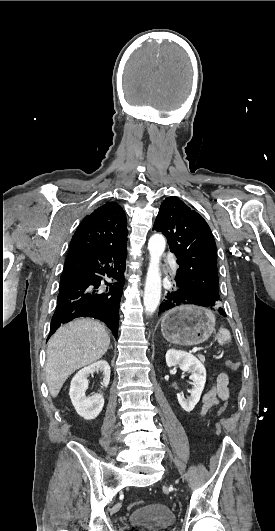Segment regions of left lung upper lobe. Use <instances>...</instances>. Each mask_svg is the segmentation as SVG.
I'll return each instance as SVG.
<instances>
[{"label":"left lung upper lobe","instance_id":"obj_1","mask_svg":"<svg viewBox=\"0 0 275 531\" xmlns=\"http://www.w3.org/2000/svg\"><path fill=\"white\" fill-rule=\"evenodd\" d=\"M153 230L167 238L179 269L176 292L185 300L204 307L219 301L217 253L213 234L206 221L178 197L161 204Z\"/></svg>","mask_w":275,"mask_h":531}]
</instances>
